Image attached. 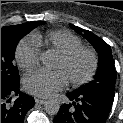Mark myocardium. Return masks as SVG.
<instances>
[{"instance_id":"1","label":"myocardium","mask_w":123,"mask_h":123,"mask_svg":"<svg viewBox=\"0 0 123 123\" xmlns=\"http://www.w3.org/2000/svg\"><path fill=\"white\" fill-rule=\"evenodd\" d=\"M81 54L88 56L90 60V67H89V70L83 76L79 78L69 79L70 83L73 86L84 85L93 79V77L95 76L98 70V65H99L98 55L95 52V50L86 46H79V47L69 49L65 52L58 53V57L65 62H68Z\"/></svg>"}]
</instances>
